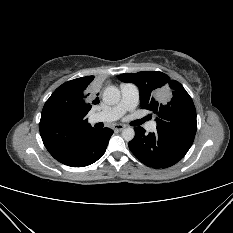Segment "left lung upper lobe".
Returning a JSON list of instances; mask_svg holds the SVG:
<instances>
[{
    "label": "left lung upper lobe",
    "mask_w": 233,
    "mask_h": 233,
    "mask_svg": "<svg viewBox=\"0 0 233 233\" xmlns=\"http://www.w3.org/2000/svg\"><path fill=\"white\" fill-rule=\"evenodd\" d=\"M118 78L138 86L142 108L158 115L156 119L158 132L195 136L197 127L195 106L179 82L158 71L125 73Z\"/></svg>",
    "instance_id": "left-lung-upper-lobe-1"
}]
</instances>
